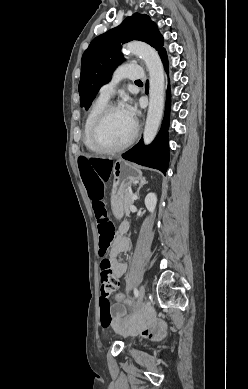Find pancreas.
<instances>
[{"label": "pancreas", "mask_w": 248, "mask_h": 389, "mask_svg": "<svg viewBox=\"0 0 248 389\" xmlns=\"http://www.w3.org/2000/svg\"><path fill=\"white\" fill-rule=\"evenodd\" d=\"M133 203L132 193L128 189L124 190V211L129 214V206Z\"/></svg>", "instance_id": "pancreas-1"}]
</instances>
